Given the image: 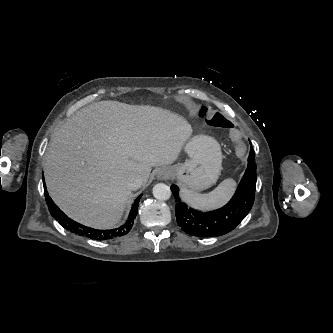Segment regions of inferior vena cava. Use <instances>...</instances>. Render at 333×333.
<instances>
[{
	"mask_svg": "<svg viewBox=\"0 0 333 333\" xmlns=\"http://www.w3.org/2000/svg\"><path fill=\"white\" fill-rule=\"evenodd\" d=\"M143 183L142 178L139 175H130L127 179H126V187L129 190H137L141 187Z\"/></svg>",
	"mask_w": 333,
	"mask_h": 333,
	"instance_id": "obj_1",
	"label": "inferior vena cava"
}]
</instances>
